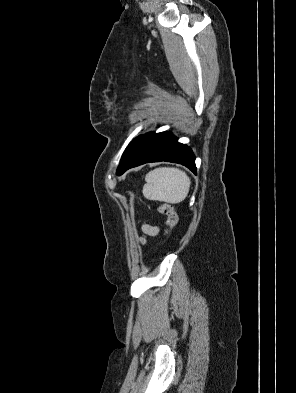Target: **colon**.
Listing matches in <instances>:
<instances>
[{
    "instance_id": "obj_1",
    "label": "colon",
    "mask_w": 296,
    "mask_h": 393,
    "mask_svg": "<svg viewBox=\"0 0 296 393\" xmlns=\"http://www.w3.org/2000/svg\"><path fill=\"white\" fill-rule=\"evenodd\" d=\"M159 212L166 217V234L169 235L176 227L178 221L174 207L168 203H164L160 205Z\"/></svg>"
}]
</instances>
